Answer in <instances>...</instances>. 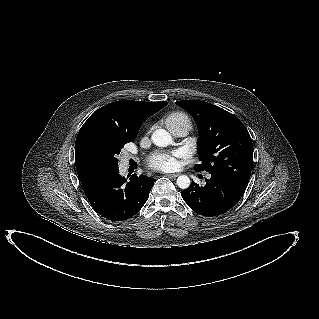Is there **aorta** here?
<instances>
[{
	"label": "aorta",
	"mask_w": 319,
	"mask_h": 319,
	"mask_svg": "<svg viewBox=\"0 0 319 319\" xmlns=\"http://www.w3.org/2000/svg\"><path fill=\"white\" fill-rule=\"evenodd\" d=\"M151 139L156 146L166 147L172 143V137L164 129H157L153 132ZM177 185L181 189H186L190 186V179L186 175H181L177 178Z\"/></svg>",
	"instance_id": "1"
}]
</instances>
